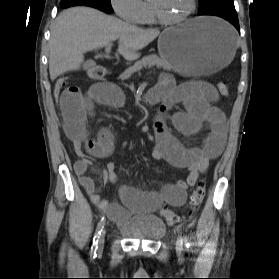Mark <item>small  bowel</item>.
I'll return each mask as SVG.
<instances>
[{
  "instance_id": "obj_1",
  "label": "small bowel",
  "mask_w": 279,
  "mask_h": 279,
  "mask_svg": "<svg viewBox=\"0 0 279 279\" xmlns=\"http://www.w3.org/2000/svg\"><path fill=\"white\" fill-rule=\"evenodd\" d=\"M148 98L152 102H161L155 116L156 145L151 157L175 167L186 168L189 173L186 180L165 184L157 191L122 186L120 195L125 208L106 200L98 192L99 185L107 179L119 183L113 162L98 173L97 180L88 175L92 167L91 158H105L113 151V136L108 128L101 129L96 138L90 135L88 127L94 116V105L99 103L122 107L125 104L123 92L109 83L94 84L86 90L69 86L59 99L64 131L80 157L74 166L78 180L91 200L117 223L126 221L129 212L153 213L163 203L182 206L186 202L187 189L195 186L199 176L207 172L210 161L220 156L226 143L225 116L214 104L218 93L210 83L191 81L175 86L170 76L162 75ZM175 103H182L184 110L170 114ZM167 117L178 132L188 137L197 135L203 124H207L210 131L202 145L184 148L168 130L165 123Z\"/></svg>"
}]
</instances>
